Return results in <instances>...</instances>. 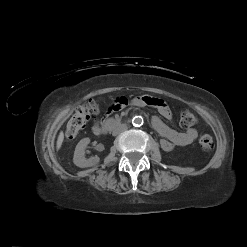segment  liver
<instances>
[{"mask_svg":"<svg viewBox=\"0 0 247 247\" xmlns=\"http://www.w3.org/2000/svg\"><path fill=\"white\" fill-rule=\"evenodd\" d=\"M64 140V133L60 132L57 138V142H56V149L59 150L61 148V145L63 143Z\"/></svg>","mask_w":247,"mask_h":247,"instance_id":"6515ba94","label":"liver"}]
</instances>
